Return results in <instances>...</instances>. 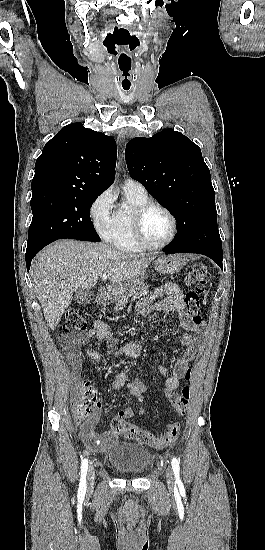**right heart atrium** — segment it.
Listing matches in <instances>:
<instances>
[{
    "label": "right heart atrium",
    "mask_w": 265,
    "mask_h": 550,
    "mask_svg": "<svg viewBox=\"0 0 265 550\" xmlns=\"http://www.w3.org/2000/svg\"><path fill=\"white\" fill-rule=\"evenodd\" d=\"M113 196L109 190L99 194L90 206V218L95 231L107 239L112 226Z\"/></svg>",
    "instance_id": "obj_1"
}]
</instances>
